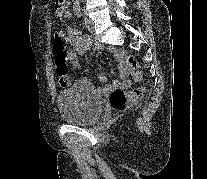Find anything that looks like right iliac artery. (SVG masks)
Returning <instances> with one entry per match:
<instances>
[{
  "mask_svg": "<svg viewBox=\"0 0 207 179\" xmlns=\"http://www.w3.org/2000/svg\"><path fill=\"white\" fill-rule=\"evenodd\" d=\"M74 13L77 17H81L82 16V11H81V7L79 5L75 6L73 8Z\"/></svg>",
  "mask_w": 207,
  "mask_h": 179,
  "instance_id": "1",
  "label": "right iliac artery"
}]
</instances>
